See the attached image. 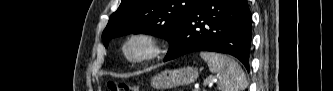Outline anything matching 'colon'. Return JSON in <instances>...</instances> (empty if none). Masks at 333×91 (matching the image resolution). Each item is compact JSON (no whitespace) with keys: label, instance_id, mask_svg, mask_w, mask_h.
<instances>
[{"label":"colon","instance_id":"5ec220e1","mask_svg":"<svg viewBox=\"0 0 333 91\" xmlns=\"http://www.w3.org/2000/svg\"><path fill=\"white\" fill-rule=\"evenodd\" d=\"M108 91H137V88L134 86H130L126 83H115L109 82L107 84Z\"/></svg>","mask_w":333,"mask_h":91}]
</instances>
